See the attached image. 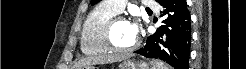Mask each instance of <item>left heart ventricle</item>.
Returning <instances> with one entry per match:
<instances>
[{
    "mask_svg": "<svg viewBox=\"0 0 246 69\" xmlns=\"http://www.w3.org/2000/svg\"><path fill=\"white\" fill-rule=\"evenodd\" d=\"M112 41L119 47H128L136 42L128 21H121L115 25Z\"/></svg>",
    "mask_w": 246,
    "mask_h": 69,
    "instance_id": "obj_1",
    "label": "left heart ventricle"
}]
</instances>
